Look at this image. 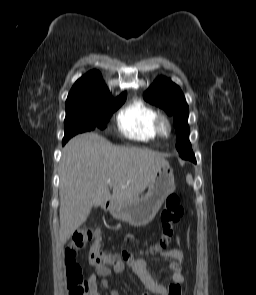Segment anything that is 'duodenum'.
Instances as JSON below:
<instances>
[{
    "label": "duodenum",
    "mask_w": 256,
    "mask_h": 295,
    "mask_svg": "<svg viewBox=\"0 0 256 295\" xmlns=\"http://www.w3.org/2000/svg\"><path fill=\"white\" fill-rule=\"evenodd\" d=\"M113 205H114V203H113L112 201H108V202L105 204V207H106L107 209H110V208L113 207Z\"/></svg>",
    "instance_id": "duodenum-1"
}]
</instances>
